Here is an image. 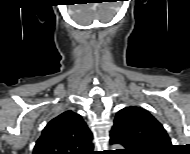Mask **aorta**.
Returning a JSON list of instances; mask_svg holds the SVG:
<instances>
[{
  "mask_svg": "<svg viewBox=\"0 0 190 154\" xmlns=\"http://www.w3.org/2000/svg\"><path fill=\"white\" fill-rule=\"evenodd\" d=\"M113 148L120 149V146L119 145H114Z\"/></svg>",
  "mask_w": 190,
  "mask_h": 154,
  "instance_id": "762f6f07",
  "label": "aorta"
}]
</instances>
